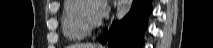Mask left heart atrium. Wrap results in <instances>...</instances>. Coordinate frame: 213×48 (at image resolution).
<instances>
[{
	"label": "left heart atrium",
	"mask_w": 213,
	"mask_h": 48,
	"mask_svg": "<svg viewBox=\"0 0 213 48\" xmlns=\"http://www.w3.org/2000/svg\"><path fill=\"white\" fill-rule=\"evenodd\" d=\"M109 11L108 1L96 0L94 8V16L96 20L104 18Z\"/></svg>",
	"instance_id": "obj_1"
}]
</instances>
